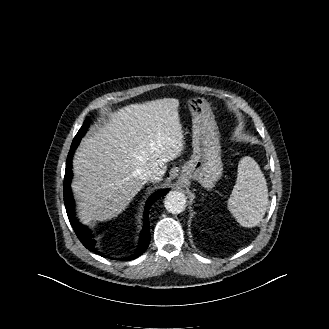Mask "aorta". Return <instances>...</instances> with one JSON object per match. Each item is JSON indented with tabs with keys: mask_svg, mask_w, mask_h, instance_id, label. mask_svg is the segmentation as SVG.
<instances>
[{
	"mask_svg": "<svg viewBox=\"0 0 329 329\" xmlns=\"http://www.w3.org/2000/svg\"><path fill=\"white\" fill-rule=\"evenodd\" d=\"M186 198L179 191H170L164 201L166 210L172 214H179L185 210Z\"/></svg>",
	"mask_w": 329,
	"mask_h": 329,
	"instance_id": "obj_1",
	"label": "aorta"
}]
</instances>
